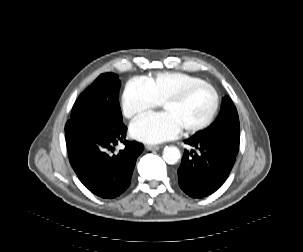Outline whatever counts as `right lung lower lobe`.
<instances>
[{
  "label": "right lung lower lobe",
  "mask_w": 303,
  "mask_h": 252,
  "mask_svg": "<svg viewBox=\"0 0 303 252\" xmlns=\"http://www.w3.org/2000/svg\"><path fill=\"white\" fill-rule=\"evenodd\" d=\"M126 128H112L78 121L66 127V142L72 167L81 182L104 198L120 195L129 185L136 158L143 145L124 140ZM123 142L126 146L110 157L104 150L114 151Z\"/></svg>",
  "instance_id": "obj_1"
}]
</instances>
